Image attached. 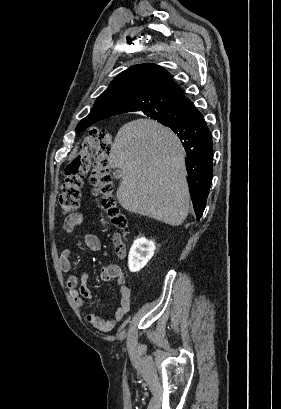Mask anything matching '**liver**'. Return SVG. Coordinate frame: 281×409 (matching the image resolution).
Returning <instances> with one entry per match:
<instances>
[{"label": "liver", "instance_id": "liver-1", "mask_svg": "<svg viewBox=\"0 0 281 409\" xmlns=\"http://www.w3.org/2000/svg\"><path fill=\"white\" fill-rule=\"evenodd\" d=\"M120 168L117 188L121 207L172 227L189 213L184 150L178 136L151 118H137L119 128L108 156Z\"/></svg>", "mask_w": 281, "mask_h": 409}]
</instances>
